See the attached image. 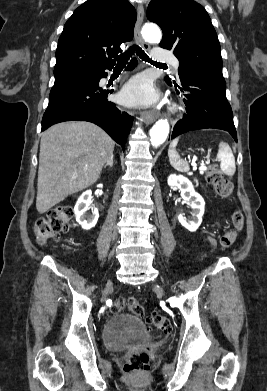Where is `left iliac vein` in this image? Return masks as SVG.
Instances as JSON below:
<instances>
[{"label":"left iliac vein","instance_id":"obj_1","mask_svg":"<svg viewBox=\"0 0 267 391\" xmlns=\"http://www.w3.org/2000/svg\"><path fill=\"white\" fill-rule=\"evenodd\" d=\"M155 289H156L157 291H159V292L164 293V289H163V287H162L161 285L155 284Z\"/></svg>","mask_w":267,"mask_h":391}]
</instances>
